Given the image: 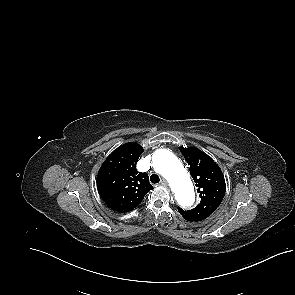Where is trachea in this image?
<instances>
[{"label": "trachea", "mask_w": 295, "mask_h": 295, "mask_svg": "<svg viewBox=\"0 0 295 295\" xmlns=\"http://www.w3.org/2000/svg\"><path fill=\"white\" fill-rule=\"evenodd\" d=\"M150 181L152 182V183H158L159 181H160V178H159V176L158 175H156V174H152L151 176H150Z\"/></svg>", "instance_id": "trachea-1"}]
</instances>
